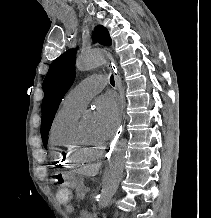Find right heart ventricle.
<instances>
[{
  "instance_id": "right-heart-ventricle-1",
  "label": "right heart ventricle",
  "mask_w": 211,
  "mask_h": 218,
  "mask_svg": "<svg viewBox=\"0 0 211 218\" xmlns=\"http://www.w3.org/2000/svg\"><path fill=\"white\" fill-rule=\"evenodd\" d=\"M80 111L61 106L51 126V156L57 169H76V165L94 160L98 156L82 152L76 144V130ZM71 156V157H70Z\"/></svg>"
}]
</instances>
